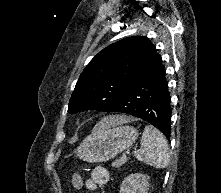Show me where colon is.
<instances>
[{
	"label": "colon",
	"mask_w": 221,
	"mask_h": 193,
	"mask_svg": "<svg viewBox=\"0 0 221 193\" xmlns=\"http://www.w3.org/2000/svg\"><path fill=\"white\" fill-rule=\"evenodd\" d=\"M82 184H83L82 177L79 172H76L73 178V188L75 190H80L82 188Z\"/></svg>",
	"instance_id": "colon-1"
}]
</instances>
